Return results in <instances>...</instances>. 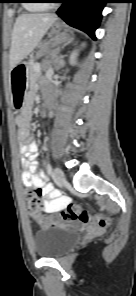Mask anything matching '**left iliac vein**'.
I'll list each match as a JSON object with an SVG mask.
<instances>
[{"label":"left iliac vein","mask_w":136,"mask_h":296,"mask_svg":"<svg viewBox=\"0 0 136 296\" xmlns=\"http://www.w3.org/2000/svg\"><path fill=\"white\" fill-rule=\"evenodd\" d=\"M53 176L58 185L62 186L65 184L66 180L61 169L55 168L53 171Z\"/></svg>","instance_id":"1"}]
</instances>
